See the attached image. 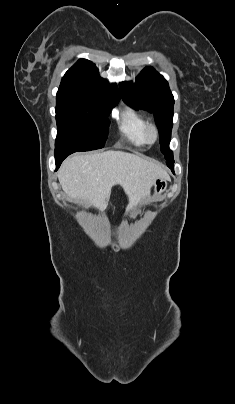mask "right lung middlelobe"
Listing matches in <instances>:
<instances>
[{
  "label": "right lung middle lobe",
  "instance_id": "obj_1",
  "mask_svg": "<svg viewBox=\"0 0 235 404\" xmlns=\"http://www.w3.org/2000/svg\"><path fill=\"white\" fill-rule=\"evenodd\" d=\"M117 102L57 96L55 153L102 148L110 123L107 116Z\"/></svg>",
  "mask_w": 235,
  "mask_h": 404
}]
</instances>
